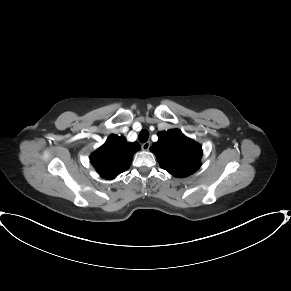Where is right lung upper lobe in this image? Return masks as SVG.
<instances>
[{"label": "right lung upper lobe", "mask_w": 291, "mask_h": 291, "mask_svg": "<svg viewBox=\"0 0 291 291\" xmlns=\"http://www.w3.org/2000/svg\"><path fill=\"white\" fill-rule=\"evenodd\" d=\"M139 149V143H128L124 137L112 134L90 160L101 177L114 179L129 168L134 153Z\"/></svg>", "instance_id": "right-lung-upper-lobe-1"}]
</instances>
